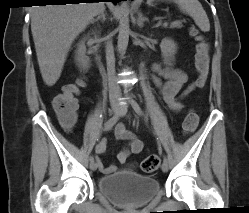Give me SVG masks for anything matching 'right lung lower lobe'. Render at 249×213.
Returning <instances> with one entry per match:
<instances>
[{
  "label": "right lung lower lobe",
  "instance_id": "1",
  "mask_svg": "<svg viewBox=\"0 0 249 213\" xmlns=\"http://www.w3.org/2000/svg\"><path fill=\"white\" fill-rule=\"evenodd\" d=\"M45 2L43 3H54V4H66V3H78L81 1H94V0H44ZM98 1V0H96ZM102 1H109V2H114L117 3L122 0H102ZM93 3V2H92Z\"/></svg>",
  "mask_w": 249,
  "mask_h": 213
}]
</instances>
